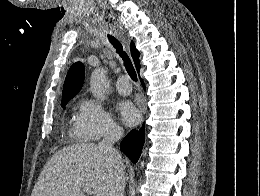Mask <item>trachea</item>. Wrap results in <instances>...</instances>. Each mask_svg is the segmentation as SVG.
Masks as SVG:
<instances>
[{
	"label": "trachea",
	"mask_w": 260,
	"mask_h": 196,
	"mask_svg": "<svg viewBox=\"0 0 260 196\" xmlns=\"http://www.w3.org/2000/svg\"><path fill=\"white\" fill-rule=\"evenodd\" d=\"M108 39H109L110 43L113 45V47L116 49V52L119 54L120 58H122L126 71L130 75V78H132L133 81L137 82L136 71L132 65V62H131L129 56L123 50V46L120 43V41L117 40V38H115L114 36H108Z\"/></svg>",
	"instance_id": "3493384b"
}]
</instances>
